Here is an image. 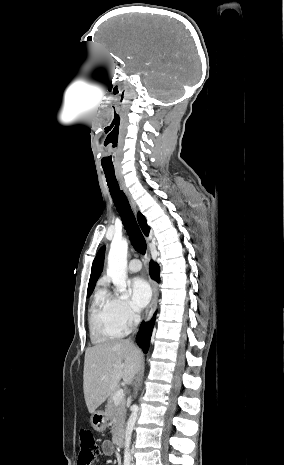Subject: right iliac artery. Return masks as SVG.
Listing matches in <instances>:
<instances>
[{
  "mask_svg": "<svg viewBox=\"0 0 284 465\" xmlns=\"http://www.w3.org/2000/svg\"><path fill=\"white\" fill-rule=\"evenodd\" d=\"M124 465H130V459H125L124 460Z\"/></svg>",
  "mask_w": 284,
  "mask_h": 465,
  "instance_id": "right-iliac-artery-1",
  "label": "right iliac artery"
}]
</instances>
